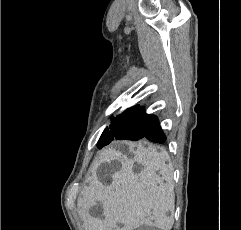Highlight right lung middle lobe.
I'll return each mask as SVG.
<instances>
[{
  "label": "right lung middle lobe",
  "mask_w": 241,
  "mask_h": 230,
  "mask_svg": "<svg viewBox=\"0 0 241 230\" xmlns=\"http://www.w3.org/2000/svg\"><path fill=\"white\" fill-rule=\"evenodd\" d=\"M142 111V109H141ZM138 121V115H119L111 118V124L109 128H106L102 133L97 147L101 149L105 145H108L113 140H132L137 141L141 139L137 136V133H133L129 130V127Z\"/></svg>",
  "instance_id": "obj_1"
}]
</instances>
